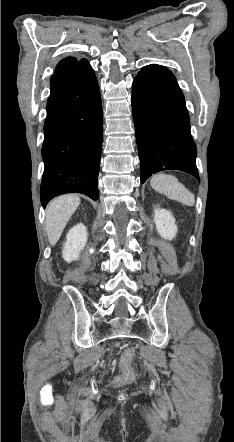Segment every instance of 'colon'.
<instances>
[{"label": "colon", "instance_id": "5ec220e1", "mask_svg": "<svg viewBox=\"0 0 234 442\" xmlns=\"http://www.w3.org/2000/svg\"><path fill=\"white\" fill-rule=\"evenodd\" d=\"M134 358V350L127 348L121 358L122 374L116 379V387L122 388L127 384H136L138 377L134 375V371L131 367L132 360Z\"/></svg>", "mask_w": 234, "mask_h": 442}]
</instances>
